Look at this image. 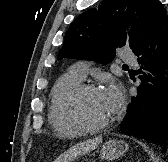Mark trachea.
I'll list each match as a JSON object with an SVG mask.
<instances>
[{
  "label": "trachea",
  "instance_id": "1",
  "mask_svg": "<svg viewBox=\"0 0 168 162\" xmlns=\"http://www.w3.org/2000/svg\"><path fill=\"white\" fill-rule=\"evenodd\" d=\"M123 67H128L127 65H123Z\"/></svg>",
  "mask_w": 168,
  "mask_h": 162
}]
</instances>
